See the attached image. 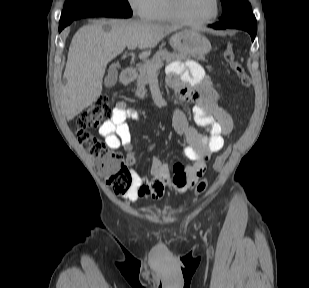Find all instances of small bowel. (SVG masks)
Returning <instances> with one entry per match:
<instances>
[{"label": "small bowel", "instance_id": "small-bowel-1", "mask_svg": "<svg viewBox=\"0 0 309 288\" xmlns=\"http://www.w3.org/2000/svg\"><path fill=\"white\" fill-rule=\"evenodd\" d=\"M167 82L182 100L193 105L194 121L207 133L200 135L190 125L185 113L181 109L175 110L174 128L187 143L184 155L191 164L176 163L170 169L168 164L154 158L151 180L142 178L131 170L132 186L123 195L127 201L132 202L141 197L160 199L169 181L177 192L183 193L193 189L204 175L210 156L223 149L224 137L232 131L233 121L219 106L217 93L199 63L192 60L173 62L169 66ZM129 118L140 119V115L136 110L129 108L124 100H118L111 118L99 128V135L109 148H123L126 151V162L132 165L136 156L127 123Z\"/></svg>", "mask_w": 309, "mask_h": 288}]
</instances>
